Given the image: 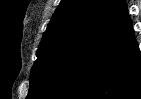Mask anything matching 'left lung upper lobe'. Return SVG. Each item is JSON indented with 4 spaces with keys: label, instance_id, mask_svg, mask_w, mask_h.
<instances>
[{
    "label": "left lung upper lobe",
    "instance_id": "5c2ea615",
    "mask_svg": "<svg viewBox=\"0 0 141 99\" xmlns=\"http://www.w3.org/2000/svg\"><path fill=\"white\" fill-rule=\"evenodd\" d=\"M121 0H62L43 34L26 99H37Z\"/></svg>",
    "mask_w": 141,
    "mask_h": 99
}]
</instances>
